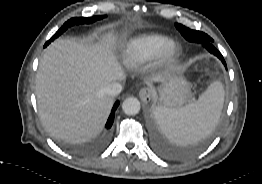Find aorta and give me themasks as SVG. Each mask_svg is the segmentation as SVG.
<instances>
[{"mask_svg": "<svg viewBox=\"0 0 262 184\" xmlns=\"http://www.w3.org/2000/svg\"><path fill=\"white\" fill-rule=\"evenodd\" d=\"M140 101L135 97H128L122 104V109L127 115H136L140 112Z\"/></svg>", "mask_w": 262, "mask_h": 184, "instance_id": "aorta-1", "label": "aorta"}]
</instances>
